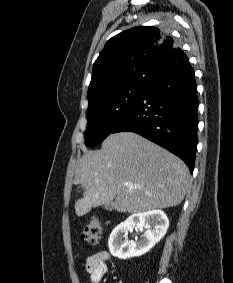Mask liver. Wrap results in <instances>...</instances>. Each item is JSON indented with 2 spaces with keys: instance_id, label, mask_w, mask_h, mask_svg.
Wrapping results in <instances>:
<instances>
[{
  "instance_id": "6515ba94",
  "label": "liver",
  "mask_w": 233,
  "mask_h": 283,
  "mask_svg": "<svg viewBox=\"0 0 233 283\" xmlns=\"http://www.w3.org/2000/svg\"><path fill=\"white\" fill-rule=\"evenodd\" d=\"M74 183L84 189L75 203L79 217L113 199L116 211L141 213L179 205L189 188V169L157 144L133 132H120L109 135L101 150L82 156Z\"/></svg>"
}]
</instances>
